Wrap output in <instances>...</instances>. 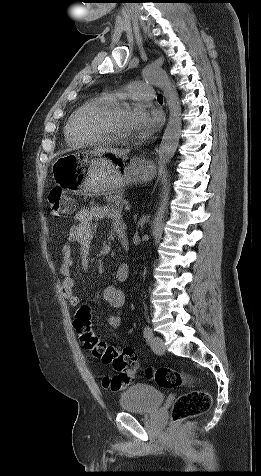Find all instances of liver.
<instances>
[{"mask_svg": "<svg viewBox=\"0 0 261 476\" xmlns=\"http://www.w3.org/2000/svg\"><path fill=\"white\" fill-rule=\"evenodd\" d=\"M95 153H105V152H108V153H112L116 156H124L126 154V151H122V150H116V149H108V148H98L94 151Z\"/></svg>", "mask_w": 261, "mask_h": 476, "instance_id": "6515ba94", "label": "liver"}]
</instances>
